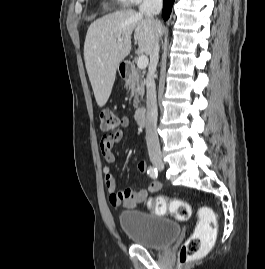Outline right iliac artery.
I'll return each mask as SVG.
<instances>
[{"label": "right iliac artery", "instance_id": "obj_1", "mask_svg": "<svg viewBox=\"0 0 265 269\" xmlns=\"http://www.w3.org/2000/svg\"><path fill=\"white\" fill-rule=\"evenodd\" d=\"M147 173L153 179H157V177H158V171H157V169L154 168V167H152V166H150L148 168Z\"/></svg>", "mask_w": 265, "mask_h": 269}]
</instances>
